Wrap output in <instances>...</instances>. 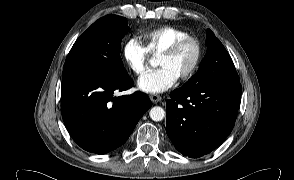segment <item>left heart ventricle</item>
Listing matches in <instances>:
<instances>
[{
  "mask_svg": "<svg viewBox=\"0 0 294 180\" xmlns=\"http://www.w3.org/2000/svg\"><path fill=\"white\" fill-rule=\"evenodd\" d=\"M195 57V48L192 44L182 47L174 56L159 57L158 66L168 68L177 78H180L191 67Z\"/></svg>",
  "mask_w": 294,
  "mask_h": 180,
  "instance_id": "left-heart-ventricle-1",
  "label": "left heart ventricle"
}]
</instances>
